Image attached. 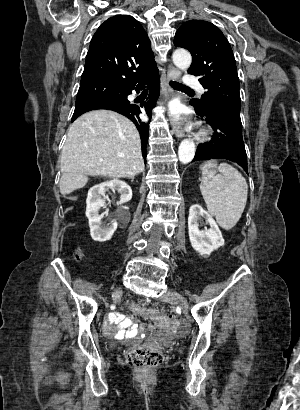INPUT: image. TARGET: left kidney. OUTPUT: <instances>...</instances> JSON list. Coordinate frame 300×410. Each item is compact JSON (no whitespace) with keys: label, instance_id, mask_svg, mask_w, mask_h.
Returning <instances> with one entry per match:
<instances>
[{"label":"left kidney","instance_id":"5707ae66","mask_svg":"<svg viewBox=\"0 0 300 410\" xmlns=\"http://www.w3.org/2000/svg\"><path fill=\"white\" fill-rule=\"evenodd\" d=\"M200 218L205 219L210 226L209 229H199L198 220ZM188 229L191 245L200 255H210L211 252L224 245V239L217 223L198 204L192 205L189 209Z\"/></svg>","mask_w":300,"mask_h":410}]
</instances>
